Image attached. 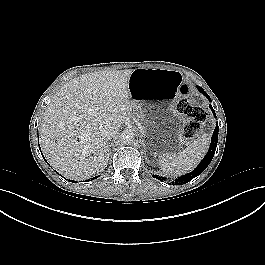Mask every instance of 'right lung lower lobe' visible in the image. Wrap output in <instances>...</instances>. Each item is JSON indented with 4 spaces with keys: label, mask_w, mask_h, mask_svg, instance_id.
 <instances>
[{
    "label": "right lung lower lobe",
    "mask_w": 265,
    "mask_h": 265,
    "mask_svg": "<svg viewBox=\"0 0 265 265\" xmlns=\"http://www.w3.org/2000/svg\"><path fill=\"white\" fill-rule=\"evenodd\" d=\"M95 178H97V177H94V178H92L91 180H93V179H95ZM87 181H90V179H89V180H87ZM87 181H85V182H87Z\"/></svg>",
    "instance_id": "right-lung-lower-lobe-1"
}]
</instances>
